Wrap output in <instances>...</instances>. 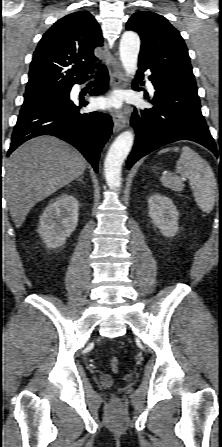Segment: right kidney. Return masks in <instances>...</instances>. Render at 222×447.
Here are the masks:
<instances>
[{"label": "right kidney", "mask_w": 222, "mask_h": 447, "mask_svg": "<svg viewBox=\"0 0 222 447\" xmlns=\"http://www.w3.org/2000/svg\"><path fill=\"white\" fill-rule=\"evenodd\" d=\"M78 200L63 194L51 202L39 219L38 233L48 248L63 245L78 223Z\"/></svg>", "instance_id": "right-kidney-1"}]
</instances>
